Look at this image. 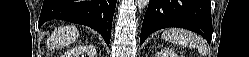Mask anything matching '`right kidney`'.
<instances>
[{
  "instance_id": "obj_1",
  "label": "right kidney",
  "mask_w": 249,
  "mask_h": 57,
  "mask_svg": "<svg viewBox=\"0 0 249 57\" xmlns=\"http://www.w3.org/2000/svg\"><path fill=\"white\" fill-rule=\"evenodd\" d=\"M78 52H70V53H65L63 57H77Z\"/></svg>"
}]
</instances>
